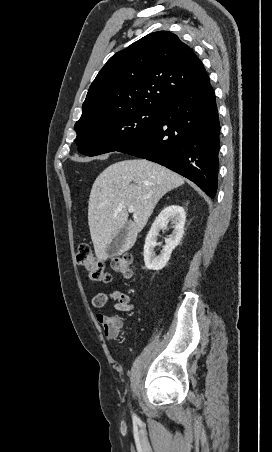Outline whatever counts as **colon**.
<instances>
[{
    "label": "colon",
    "mask_w": 272,
    "mask_h": 452,
    "mask_svg": "<svg viewBox=\"0 0 272 452\" xmlns=\"http://www.w3.org/2000/svg\"><path fill=\"white\" fill-rule=\"evenodd\" d=\"M76 261L79 266L88 272L92 281L97 283H109L111 281L110 273L105 270L104 264L96 259L89 244L82 243L79 245ZM112 268L125 278L131 277L133 273L131 256L124 255L115 259Z\"/></svg>",
    "instance_id": "obj_1"
}]
</instances>
